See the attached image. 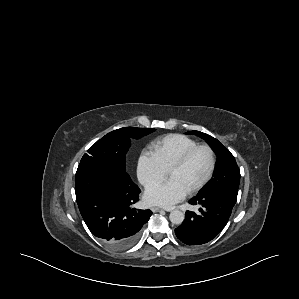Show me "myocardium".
<instances>
[{"instance_id": "obj_1", "label": "myocardium", "mask_w": 299, "mask_h": 299, "mask_svg": "<svg viewBox=\"0 0 299 299\" xmlns=\"http://www.w3.org/2000/svg\"><path fill=\"white\" fill-rule=\"evenodd\" d=\"M200 149H206L209 152L210 167L206 176L196 186L187 191L188 194H194L200 191L212 178L216 168V155L213 148L208 144H197L185 151L168 170V175H170L172 172L181 169L183 166H185V164L188 162L191 156Z\"/></svg>"}]
</instances>
